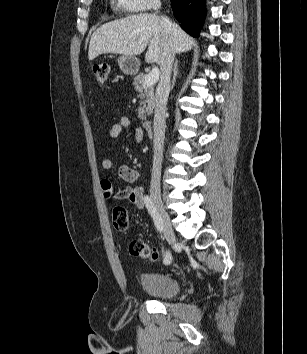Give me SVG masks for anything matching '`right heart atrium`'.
I'll return each mask as SVG.
<instances>
[{"label": "right heart atrium", "instance_id": "1", "mask_svg": "<svg viewBox=\"0 0 307 354\" xmlns=\"http://www.w3.org/2000/svg\"><path fill=\"white\" fill-rule=\"evenodd\" d=\"M117 6L127 12H143L156 9L159 0H116Z\"/></svg>", "mask_w": 307, "mask_h": 354}]
</instances>
